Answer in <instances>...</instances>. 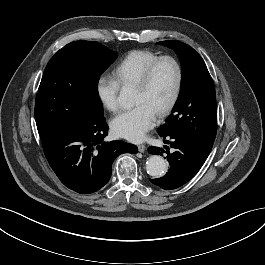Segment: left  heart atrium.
Returning a JSON list of instances; mask_svg holds the SVG:
<instances>
[{
  "instance_id": "left-heart-atrium-1",
  "label": "left heart atrium",
  "mask_w": 265,
  "mask_h": 265,
  "mask_svg": "<svg viewBox=\"0 0 265 265\" xmlns=\"http://www.w3.org/2000/svg\"><path fill=\"white\" fill-rule=\"evenodd\" d=\"M156 123V113L144 104L121 112L111 121L113 133L132 142L142 141Z\"/></svg>"
}]
</instances>
